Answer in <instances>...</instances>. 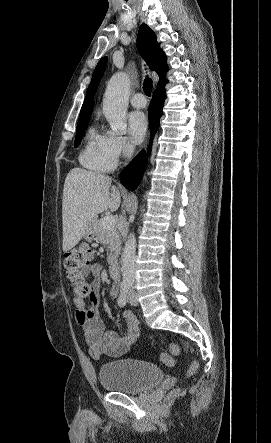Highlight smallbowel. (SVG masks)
Here are the masks:
<instances>
[{"instance_id": "small-bowel-1", "label": "small bowel", "mask_w": 271, "mask_h": 443, "mask_svg": "<svg viewBox=\"0 0 271 443\" xmlns=\"http://www.w3.org/2000/svg\"><path fill=\"white\" fill-rule=\"evenodd\" d=\"M85 278H92V294L89 299V305L83 299L74 297V303L77 307L76 318L82 326L84 339L93 358H99L102 355L119 357L124 355L137 342L139 337V328L137 319L133 313L126 311L123 316L126 322L127 331L123 336L113 332H105L104 325L99 318L97 305L99 303V292L102 283V266L94 263L86 266L82 270ZM118 287L111 288L110 296L116 298Z\"/></svg>"}]
</instances>
